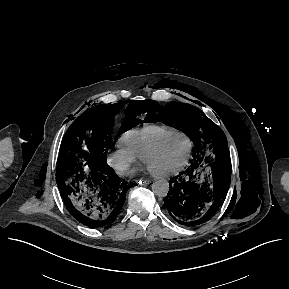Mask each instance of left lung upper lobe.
<instances>
[{"label": "left lung upper lobe", "mask_w": 289, "mask_h": 289, "mask_svg": "<svg viewBox=\"0 0 289 289\" xmlns=\"http://www.w3.org/2000/svg\"><path fill=\"white\" fill-rule=\"evenodd\" d=\"M141 112L146 113L144 121L182 128L193 140L195 162L231 167L224 132L196 107L177 102L161 106L157 101L148 100L141 105Z\"/></svg>", "instance_id": "1"}]
</instances>
